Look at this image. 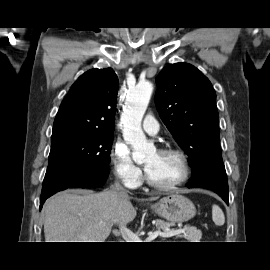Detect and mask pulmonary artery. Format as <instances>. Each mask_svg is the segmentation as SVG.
<instances>
[{
    "instance_id": "1",
    "label": "pulmonary artery",
    "mask_w": 270,
    "mask_h": 270,
    "mask_svg": "<svg viewBox=\"0 0 270 270\" xmlns=\"http://www.w3.org/2000/svg\"><path fill=\"white\" fill-rule=\"evenodd\" d=\"M142 127L148 134L151 135H155L159 131V124L151 114H148L145 117Z\"/></svg>"
}]
</instances>
